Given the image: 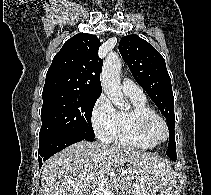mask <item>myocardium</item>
<instances>
[{
  "label": "myocardium",
  "instance_id": "myocardium-1",
  "mask_svg": "<svg viewBox=\"0 0 211 195\" xmlns=\"http://www.w3.org/2000/svg\"><path fill=\"white\" fill-rule=\"evenodd\" d=\"M160 122L165 130V136L161 141H155L150 133V128L155 122ZM138 131L141 137L150 144L157 146L164 143L169 137V129L165 119L157 113L143 114L138 117Z\"/></svg>",
  "mask_w": 211,
  "mask_h": 195
}]
</instances>
